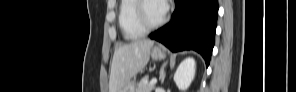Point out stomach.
Wrapping results in <instances>:
<instances>
[{
  "label": "stomach",
  "mask_w": 296,
  "mask_h": 92,
  "mask_svg": "<svg viewBox=\"0 0 296 92\" xmlns=\"http://www.w3.org/2000/svg\"><path fill=\"white\" fill-rule=\"evenodd\" d=\"M151 57L153 60H163L166 58L165 52L159 47H153L151 50ZM136 81H129L119 92H136Z\"/></svg>",
  "instance_id": "stomach-1"
}]
</instances>
